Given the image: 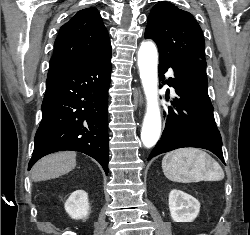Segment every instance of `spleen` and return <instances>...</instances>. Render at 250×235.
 <instances>
[{
  "label": "spleen",
  "instance_id": "spleen-1",
  "mask_svg": "<svg viewBox=\"0 0 250 235\" xmlns=\"http://www.w3.org/2000/svg\"><path fill=\"white\" fill-rule=\"evenodd\" d=\"M164 175L173 182L220 181L224 171L209 154L196 148H181L162 160Z\"/></svg>",
  "mask_w": 250,
  "mask_h": 235
}]
</instances>
